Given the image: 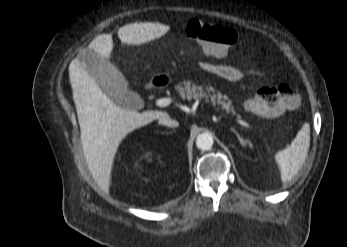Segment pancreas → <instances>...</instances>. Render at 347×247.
Segmentation results:
<instances>
[{"label":"pancreas","mask_w":347,"mask_h":247,"mask_svg":"<svg viewBox=\"0 0 347 247\" xmlns=\"http://www.w3.org/2000/svg\"><path fill=\"white\" fill-rule=\"evenodd\" d=\"M174 88L182 98H186L188 100L206 99V102H209L210 99L213 106L217 105V110L221 109L226 114H230L231 116H236L238 119H241V115L235 111L231 100L228 99L226 95H222L220 91H215L214 88H207L205 91L202 86H198L191 81H183V83L175 85Z\"/></svg>","instance_id":"1"}]
</instances>
